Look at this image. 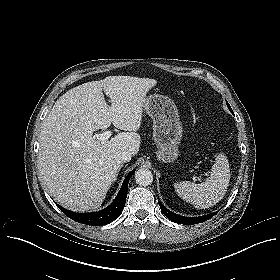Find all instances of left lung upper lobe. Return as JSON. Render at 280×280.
Here are the masks:
<instances>
[{
  "mask_svg": "<svg viewBox=\"0 0 280 280\" xmlns=\"http://www.w3.org/2000/svg\"><path fill=\"white\" fill-rule=\"evenodd\" d=\"M227 106H228L230 112H231L232 114H234L233 111H232V108L230 107V105H229L228 103H227Z\"/></svg>",
  "mask_w": 280,
  "mask_h": 280,
  "instance_id": "5c2ea615",
  "label": "left lung upper lobe"
}]
</instances>
